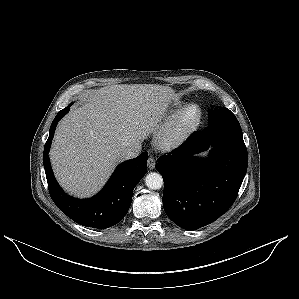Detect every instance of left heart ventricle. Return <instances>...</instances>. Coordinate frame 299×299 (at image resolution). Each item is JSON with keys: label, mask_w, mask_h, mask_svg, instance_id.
I'll return each instance as SVG.
<instances>
[{"label": "left heart ventricle", "mask_w": 299, "mask_h": 299, "mask_svg": "<svg viewBox=\"0 0 299 299\" xmlns=\"http://www.w3.org/2000/svg\"><path fill=\"white\" fill-rule=\"evenodd\" d=\"M197 112L195 110H191L185 117V122H190L195 119Z\"/></svg>", "instance_id": "1"}]
</instances>
